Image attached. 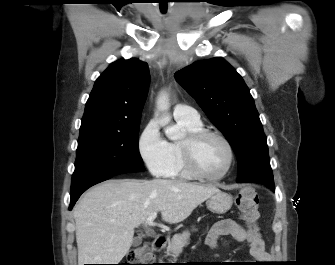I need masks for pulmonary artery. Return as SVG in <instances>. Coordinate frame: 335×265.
Listing matches in <instances>:
<instances>
[{
  "instance_id": "pulmonary-artery-1",
  "label": "pulmonary artery",
  "mask_w": 335,
  "mask_h": 265,
  "mask_svg": "<svg viewBox=\"0 0 335 265\" xmlns=\"http://www.w3.org/2000/svg\"><path fill=\"white\" fill-rule=\"evenodd\" d=\"M173 115L176 120H184L192 123L200 122V116L197 110L185 104L176 105Z\"/></svg>"
}]
</instances>
